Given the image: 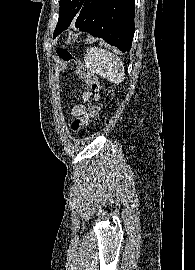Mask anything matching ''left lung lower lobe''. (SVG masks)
<instances>
[{"instance_id":"left-lung-lower-lobe-1","label":"left lung lower lobe","mask_w":195,"mask_h":270,"mask_svg":"<svg viewBox=\"0 0 195 270\" xmlns=\"http://www.w3.org/2000/svg\"><path fill=\"white\" fill-rule=\"evenodd\" d=\"M134 13V0H85L71 24L126 52L135 32Z\"/></svg>"}]
</instances>
